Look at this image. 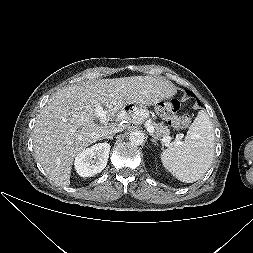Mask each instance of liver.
I'll return each mask as SVG.
<instances>
[{"label":"liver","mask_w":253,"mask_h":253,"mask_svg":"<svg viewBox=\"0 0 253 253\" xmlns=\"http://www.w3.org/2000/svg\"><path fill=\"white\" fill-rule=\"evenodd\" d=\"M177 88L161 77L133 76L69 85L51 95L33 129L34 153L50 180L70 185L74 158L100 140L106 131L141 124L148 117L144 105L174 96ZM137 104L133 110L125 106ZM104 106L106 121L96 124L95 107ZM111 121V122H109Z\"/></svg>","instance_id":"liver-1"}]
</instances>
